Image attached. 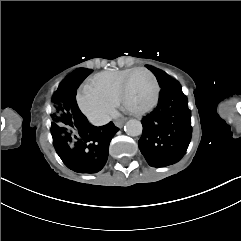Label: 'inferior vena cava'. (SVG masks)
Wrapping results in <instances>:
<instances>
[{
    "mask_svg": "<svg viewBox=\"0 0 241 241\" xmlns=\"http://www.w3.org/2000/svg\"><path fill=\"white\" fill-rule=\"evenodd\" d=\"M111 121V117L109 115H104L100 118H96L92 121V124L95 126H102Z\"/></svg>",
    "mask_w": 241,
    "mask_h": 241,
    "instance_id": "1",
    "label": "inferior vena cava"
}]
</instances>
